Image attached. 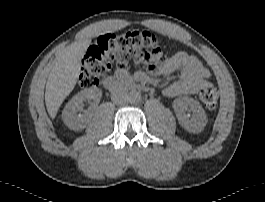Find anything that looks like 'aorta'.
<instances>
[{
  "label": "aorta",
  "mask_w": 265,
  "mask_h": 202,
  "mask_svg": "<svg viewBox=\"0 0 265 202\" xmlns=\"http://www.w3.org/2000/svg\"><path fill=\"white\" fill-rule=\"evenodd\" d=\"M141 98H142V96H141V93L139 91L132 90L129 92L128 101L130 103H133V104L138 103L141 101Z\"/></svg>",
  "instance_id": "obj_1"
}]
</instances>
